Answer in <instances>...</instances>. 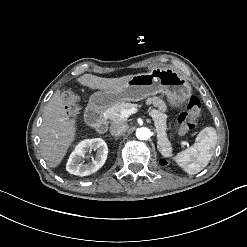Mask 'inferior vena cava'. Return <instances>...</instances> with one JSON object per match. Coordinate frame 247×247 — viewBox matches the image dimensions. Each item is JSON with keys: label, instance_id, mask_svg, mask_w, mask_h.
I'll return each mask as SVG.
<instances>
[{"label": "inferior vena cava", "instance_id": "inferior-vena-cava-1", "mask_svg": "<svg viewBox=\"0 0 247 247\" xmlns=\"http://www.w3.org/2000/svg\"><path fill=\"white\" fill-rule=\"evenodd\" d=\"M128 127L125 122H114L110 126V133L113 136H121L127 131Z\"/></svg>", "mask_w": 247, "mask_h": 247}]
</instances>
